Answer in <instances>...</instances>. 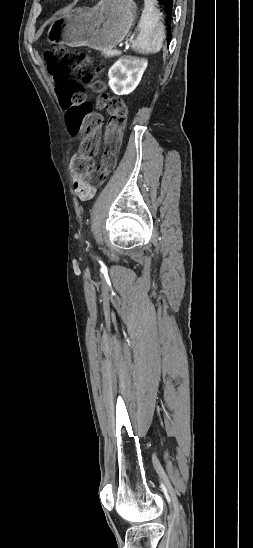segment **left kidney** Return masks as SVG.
Wrapping results in <instances>:
<instances>
[{"mask_svg":"<svg viewBox=\"0 0 253 548\" xmlns=\"http://www.w3.org/2000/svg\"><path fill=\"white\" fill-rule=\"evenodd\" d=\"M148 61L124 56L109 69V86L116 95H127L134 91L141 81Z\"/></svg>","mask_w":253,"mask_h":548,"instance_id":"obj_1","label":"left kidney"}]
</instances>
